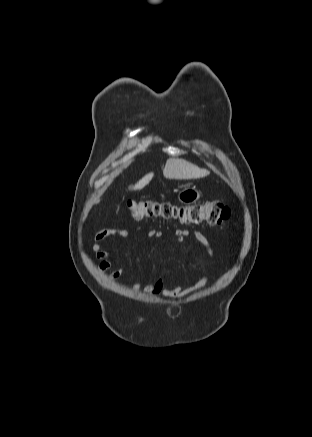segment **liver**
Returning a JSON list of instances; mask_svg holds the SVG:
<instances>
[{
    "label": "liver",
    "instance_id": "1",
    "mask_svg": "<svg viewBox=\"0 0 312 437\" xmlns=\"http://www.w3.org/2000/svg\"><path fill=\"white\" fill-rule=\"evenodd\" d=\"M210 172L206 169H201L184 159L170 158L167 160L163 175L169 179H197L209 175ZM154 174L148 173L138 181L135 186L136 190L144 188L152 180Z\"/></svg>",
    "mask_w": 312,
    "mask_h": 437
}]
</instances>
